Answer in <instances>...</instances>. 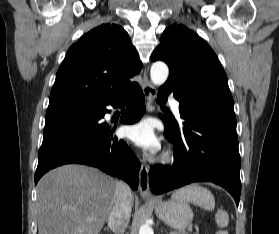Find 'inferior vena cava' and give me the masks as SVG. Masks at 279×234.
<instances>
[{
    "instance_id": "602c4592",
    "label": "inferior vena cava",
    "mask_w": 279,
    "mask_h": 234,
    "mask_svg": "<svg viewBox=\"0 0 279 234\" xmlns=\"http://www.w3.org/2000/svg\"><path fill=\"white\" fill-rule=\"evenodd\" d=\"M132 193L128 184L117 181L114 203L109 215L108 226L114 234H123L131 216Z\"/></svg>"
}]
</instances>
